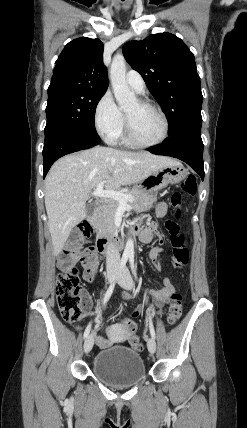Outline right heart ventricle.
Instances as JSON below:
<instances>
[{
    "label": "right heart ventricle",
    "instance_id": "right-heart-ventricle-1",
    "mask_svg": "<svg viewBox=\"0 0 247 428\" xmlns=\"http://www.w3.org/2000/svg\"><path fill=\"white\" fill-rule=\"evenodd\" d=\"M119 139L121 140V142L125 145H130L131 143L129 142L128 138L126 137V135H124L123 133L120 135Z\"/></svg>",
    "mask_w": 247,
    "mask_h": 428
}]
</instances>
